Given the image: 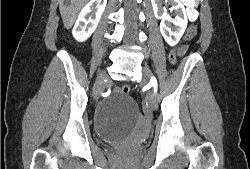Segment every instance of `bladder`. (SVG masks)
<instances>
[{"instance_id": "obj_1", "label": "bladder", "mask_w": 250, "mask_h": 169, "mask_svg": "<svg viewBox=\"0 0 250 169\" xmlns=\"http://www.w3.org/2000/svg\"><path fill=\"white\" fill-rule=\"evenodd\" d=\"M107 146L116 147V146H118V145H107Z\"/></svg>"}]
</instances>
